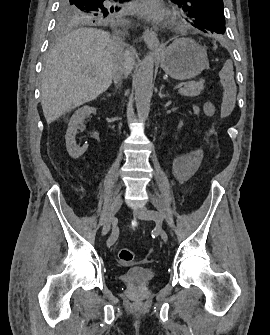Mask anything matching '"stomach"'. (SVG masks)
I'll return each mask as SVG.
<instances>
[{
    "mask_svg": "<svg viewBox=\"0 0 270 335\" xmlns=\"http://www.w3.org/2000/svg\"><path fill=\"white\" fill-rule=\"evenodd\" d=\"M160 66L175 80H190L209 68L204 46H199L192 38H178L168 48H159Z\"/></svg>",
    "mask_w": 270,
    "mask_h": 335,
    "instance_id": "obj_1",
    "label": "stomach"
}]
</instances>
